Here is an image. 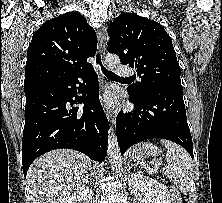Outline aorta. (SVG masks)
<instances>
[{
	"label": "aorta",
	"mask_w": 222,
	"mask_h": 203,
	"mask_svg": "<svg viewBox=\"0 0 222 203\" xmlns=\"http://www.w3.org/2000/svg\"><path fill=\"white\" fill-rule=\"evenodd\" d=\"M119 57L115 54H108L105 57V65L108 70L113 71L114 68L119 64ZM108 157L110 162V167L116 173L122 170V159L121 152L117 141V136L113 127L109 129L108 135Z\"/></svg>",
	"instance_id": "obj_1"
}]
</instances>
